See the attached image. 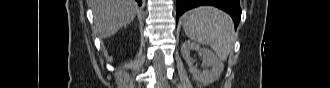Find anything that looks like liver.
I'll return each mask as SVG.
<instances>
[{"label": "liver", "instance_id": "obj_1", "mask_svg": "<svg viewBox=\"0 0 330 88\" xmlns=\"http://www.w3.org/2000/svg\"><path fill=\"white\" fill-rule=\"evenodd\" d=\"M94 24L101 38L114 35L136 16L138 5L134 0H92Z\"/></svg>", "mask_w": 330, "mask_h": 88}]
</instances>
